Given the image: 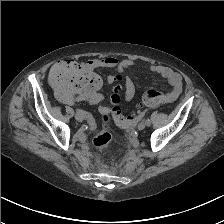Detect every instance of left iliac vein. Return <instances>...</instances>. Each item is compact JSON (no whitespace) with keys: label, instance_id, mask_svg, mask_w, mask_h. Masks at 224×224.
I'll return each instance as SVG.
<instances>
[{"label":"left iliac vein","instance_id":"4c4485c4","mask_svg":"<svg viewBox=\"0 0 224 224\" xmlns=\"http://www.w3.org/2000/svg\"><path fill=\"white\" fill-rule=\"evenodd\" d=\"M146 124L144 122H141L138 124V130H143L145 128Z\"/></svg>","mask_w":224,"mask_h":224}]
</instances>
